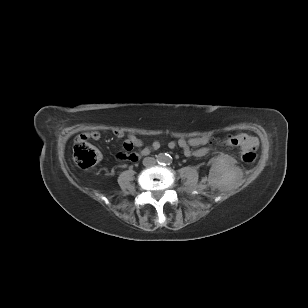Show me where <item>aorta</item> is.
I'll return each instance as SVG.
<instances>
[{
  "instance_id": "762f6f07",
  "label": "aorta",
  "mask_w": 308,
  "mask_h": 308,
  "mask_svg": "<svg viewBox=\"0 0 308 308\" xmlns=\"http://www.w3.org/2000/svg\"><path fill=\"white\" fill-rule=\"evenodd\" d=\"M161 160L167 164H170L172 162V157L170 155H165L161 158Z\"/></svg>"
}]
</instances>
